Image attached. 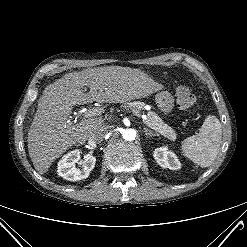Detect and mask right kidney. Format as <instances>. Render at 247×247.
I'll list each match as a JSON object with an SVG mask.
<instances>
[{"mask_svg":"<svg viewBox=\"0 0 247 247\" xmlns=\"http://www.w3.org/2000/svg\"><path fill=\"white\" fill-rule=\"evenodd\" d=\"M80 160V151L73 150L62 157L58 162V175L69 181L86 179L95 166L96 158L91 154L84 155L82 170L75 164Z\"/></svg>","mask_w":247,"mask_h":247,"instance_id":"ca27d5eb","label":"right kidney"}]
</instances>
